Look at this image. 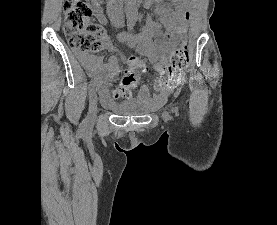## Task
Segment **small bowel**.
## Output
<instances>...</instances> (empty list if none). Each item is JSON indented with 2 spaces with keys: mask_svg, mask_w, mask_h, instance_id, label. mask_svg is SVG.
<instances>
[{
  "mask_svg": "<svg viewBox=\"0 0 277 225\" xmlns=\"http://www.w3.org/2000/svg\"><path fill=\"white\" fill-rule=\"evenodd\" d=\"M144 5L146 8L156 5L159 19H148L141 33L124 32L118 35L117 40L121 43H127L130 48L135 49L138 53L150 57L153 60V68L156 71H160L166 61L169 45L175 41L176 17L180 16L184 20H188L190 14L182 5L176 6L177 10L175 12L172 11L163 4V0H145ZM92 7L100 23L102 25L107 24V19L103 15L99 4L92 2ZM100 36L109 51H117L112 40L104 32H100ZM78 59L88 71L93 81V86L102 94H106L108 85L119 73L118 56L109 57L105 63L101 56L90 54L79 53ZM174 89V85H160L152 97L153 102L157 104L165 102ZM148 93V88L143 87L141 89V98H146Z\"/></svg>",
  "mask_w": 277,
  "mask_h": 225,
  "instance_id": "c3829d8e",
  "label": "small bowel"
}]
</instances>
